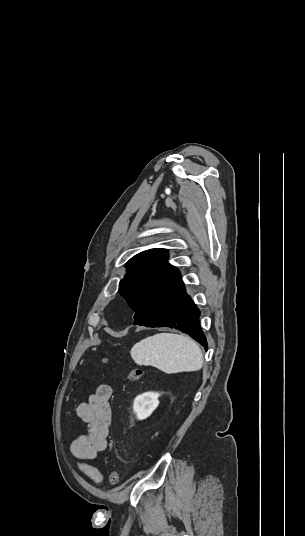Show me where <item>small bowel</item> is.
Segmentation results:
<instances>
[{
	"label": "small bowel",
	"mask_w": 305,
	"mask_h": 536,
	"mask_svg": "<svg viewBox=\"0 0 305 536\" xmlns=\"http://www.w3.org/2000/svg\"><path fill=\"white\" fill-rule=\"evenodd\" d=\"M111 395L109 385H100L87 402L77 407V415L86 424V431L73 440L71 452L81 462L95 459L98 453L107 448L112 414ZM80 468L92 480L101 482L102 476L95 467L81 463Z\"/></svg>",
	"instance_id": "1"
}]
</instances>
